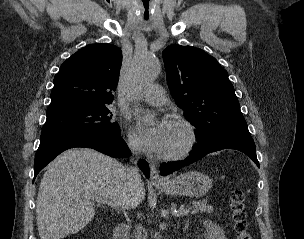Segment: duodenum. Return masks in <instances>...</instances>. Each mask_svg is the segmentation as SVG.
<instances>
[{
  "label": "duodenum",
  "instance_id": "1",
  "mask_svg": "<svg viewBox=\"0 0 304 239\" xmlns=\"http://www.w3.org/2000/svg\"><path fill=\"white\" fill-rule=\"evenodd\" d=\"M114 239H128V227L126 224H119L114 231Z\"/></svg>",
  "mask_w": 304,
  "mask_h": 239
}]
</instances>
